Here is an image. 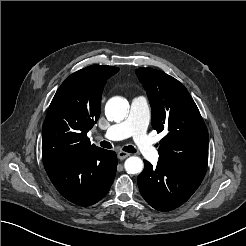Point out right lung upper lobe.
Returning <instances> with one entry per match:
<instances>
[{
    "mask_svg": "<svg viewBox=\"0 0 246 246\" xmlns=\"http://www.w3.org/2000/svg\"><path fill=\"white\" fill-rule=\"evenodd\" d=\"M118 70L92 65L65 79L52 99L42 128L44 164L65 155L101 149L91 145L87 132L99 118L104 84Z\"/></svg>",
    "mask_w": 246,
    "mask_h": 246,
    "instance_id": "1",
    "label": "right lung upper lobe"
}]
</instances>
